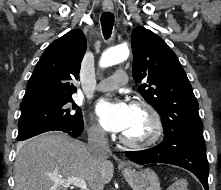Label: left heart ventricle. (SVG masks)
Here are the masks:
<instances>
[{"label":"left heart ventricle","mask_w":221,"mask_h":190,"mask_svg":"<svg viewBox=\"0 0 221 190\" xmlns=\"http://www.w3.org/2000/svg\"><path fill=\"white\" fill-rule=\"evenodd\" d=\"M149 125L148 115L143 110L132 107L131 122L123 134L134 140L143 139L148 134Z\"/></svg>","instance_id":"left-heart-ventricle-1"}]
</instances>
